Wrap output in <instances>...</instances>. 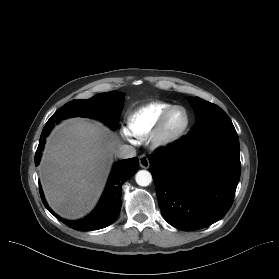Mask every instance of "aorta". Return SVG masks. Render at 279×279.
<instances>
[{"label": "aorta", "instance_id": "aorta-1", "mask_svg": "<svg viewBox=\"0 0 279 279\" xmlns=\"http://www.w3.org/2000/svg\"><path fill=\"white\" fill-rule=\"evenodd\" d=\"M136 183L139 186H148L152 182V175L147 170H140L135 175Z\"/></svg>", "mask_w": 279, "mask_h": 279}]
</instances>
